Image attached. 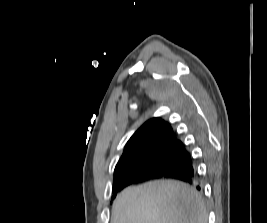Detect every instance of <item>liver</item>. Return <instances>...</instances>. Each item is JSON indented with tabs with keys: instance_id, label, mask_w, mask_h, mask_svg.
Returning <instances> with one entry per match:
<instances>
[{
	"instance_id": "1",
	"label": "liver",
	"mask_w": 267,
	"mask_h": 223,
	"mask_svg": "<svg viewBox=\"0 0 267 223\" xmlns=\"http://www.w3.org/2000/svg\"><path fill=\"white\" fill-rule=\"evenodd\" d=\"M202 197L185 183L158 180L118 194L111 223H207Z\"/></svg>"
}]
</instances>
